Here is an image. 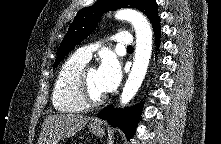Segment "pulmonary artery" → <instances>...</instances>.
Wrapping results in <instances>:
<instances>
[{
  "instance_id": "e3ab8cb5",
  "label": "pulmonary artery",
  "mask_w": 221,
  "mask_h": 144,
  "mask_svg": "<svg viewBox=\"0 0 221 144\" xmlns=\"http://www.w3.org/2000/svg\"><path fill=\"white\" fill-rule=\"evenodd\" d=\"M112 40H114L120 45L126 46H130L133 42L131 34L127 31L117 33L112 37ZM97 47V45L84 46L82 48H79L76 54L84 60L89 61L92 56V53L97 49Z\"/></svg>"
}]
</instances>
